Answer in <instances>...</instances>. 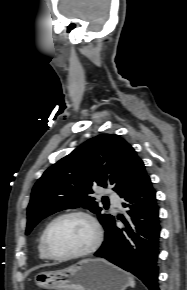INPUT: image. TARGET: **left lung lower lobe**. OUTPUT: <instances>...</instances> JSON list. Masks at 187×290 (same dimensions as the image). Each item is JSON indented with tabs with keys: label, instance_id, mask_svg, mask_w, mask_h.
<instances>
[{
	"label": "left lung lower lobe",
	"instance_id": "0a47b994",
	"mask_svg": "<svg viewBox=\"0 0 187 290\" xmlns=\"http://www.w3.org/2000/svg\"><path fill=\"white\" fill-rule=\"evenodd\" d=\"M156 191L144 175L121 195L128 208L127 228L119 229L113 220L106 228L105 241L95 256L103 257L137 276L149 290H159L158 255L160 238Z\"/></svg>",
	"mask_w": 187,
	"mask_h": 290
}]
</instances>
